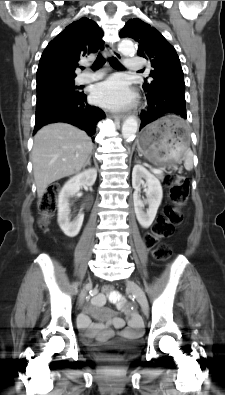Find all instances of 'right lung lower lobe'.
Listing matches in <instances>:
<instances>
[{
    "mask_svg": "<svg viewBox=\"0 0 225 395\" xmlns=\"http://www.w3.org/2000/svg\"><path fill=\"white\" fill-rule=\"evenodd\" d=\"M83 92H60L36 103V122L33 134L42 126L53 122H67L93 135L104 112L90 106ZM93 139V138H92Z\"/></svg>",
    "mask_w": 225,
    "mask_h": 395,
    "instance_id": "right-lung-lower-lobe-1",
    "label": "right lung lower lobe"
}]
</instances>
